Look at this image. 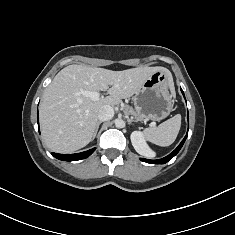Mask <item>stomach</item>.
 I'll list each match as a JSON object with an SVG mask.
<instances>
[{
  "label": "stomach",
  "mask_w": 235,
  "mask_h": 235,
  "mask_svg": "<svg viewBox=\"0 0 235 235\" xmlns=\"http://www.w3.org/2000/svg\"><path fill=\"white\" fill-rule=\"evenodd\" d=\"M134 106L142 119L160 121L172 111L171 95L168 91V75L152 74L135 93Z\"/></svg>",
  "instance_id": "obj_1"
}]
</instances>
